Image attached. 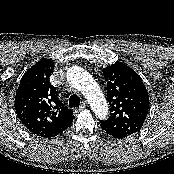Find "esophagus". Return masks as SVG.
<instances>
[{"instance_id":"34e87169","label":"esophagus","mask_w":174,"mask_h":174,"mask_svg":"<svg viewBox=\"0 0 174 174\" xmlns=\"http://www.w3.org/2000/svg\"><path fill=\"white\" fill-rule=\"evenodd\" d=\"M86 106H87V103L86 102H82L81 106L79 107V110L85 109Z\"/></svg>"}]
</instances>
